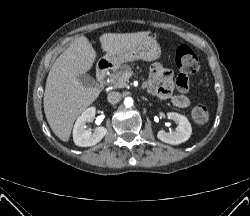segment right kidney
I'll return each mask as SVG.
<instances>
[{"mask_svg": "<svg viewBox=\"0 0 250 216\" xmlns=\"http://www.w3.org/2000/svg\"><path fill=\"white\" fill-rule=\"evenodd\" d=\"M96 113L95 107L86 109L76 120L73 128V140L77 146L87 147L96 145L107 134L105 127H97L92 133L86 129V123L91 122Z\"/></svg>", "mask_w": 250, "mask_h": 216, "instance_id": "right-kidney-1", "label": "right kidney"}]
</instances>
